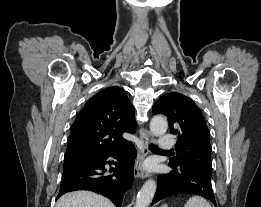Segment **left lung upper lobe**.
Segmentation results:
<instances>
[{
	"mask_svg": "<svg viewBox=\"0 0 261 207\" xmlns=\"http://www.w3.org/2000/svg\"><path fill=\"white\" fill-rule=\"evenodd\" d=\"M152 112L167 116L170 132L177 136V153L169 164L194 168L212 176L209 130L197 105L190 98L172 92L160 97Z\"/></svg>",
	"mask_w": 261,
	"mask_h": 207,
	"instance_id": "1",
	"label": "left lung upper lobe"
}]
</instances>
